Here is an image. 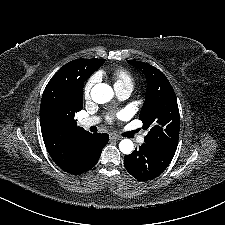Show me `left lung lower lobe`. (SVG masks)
Wrapping results in <instances>:
<instances>
[{
  "instance_id": "0a47b994",
  "label": "left lung lower lobe",
  "mask_w": 225,
  "mask_h": 225,
  "mask_svg": "<svg viewBox=\"0 0 225 225\" xmlns=\"http://www.w3.org/2000/svg\"><path fill=\"white\" fill-rule=\"evenodd\" d=\"M175 151L161 145L144 143L124 157L125 168L140 181L154 179L167 168Z\"/></svg>"
}]
</instances>
